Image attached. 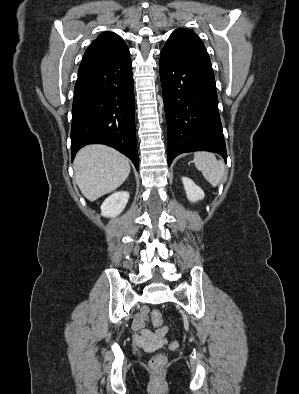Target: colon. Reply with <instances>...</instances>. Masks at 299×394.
<instances>
[{
  "instance_id": "5ec220e1",
  "label": "colon",
  "mask_w": 299,
  "mask_h": 394,
  "mask_svg": "<svg viewBox=\"0 0 299 394\" xmlns=\"http://www.w3.org/2000/svg\"><path fill=\"white\" fill-rule=\"evenodd\" d=\"M152 317H153V321L155 323L161 324V314L159 311L154 310L152 312ZM171 348H177L178 347V343L177 342H172L171 343ZM166 356L164 354H156L154 355L150 361H149V367L153 370H157L160 369L161 367H163L166 364Z\"/></svg>"
}]
</instances>
